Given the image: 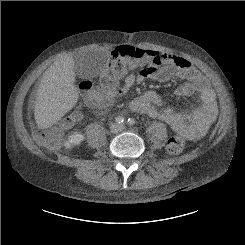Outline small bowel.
<instances>
[{
	"instance_id": "1",
	"label": "small bowel",
	"mask_w": 245,
	"mask_h": 245,
	"mask_svg": "<svg viewBox=\"0 0 245 245\" xmlns=\"http://www.w3.org/2000/svg\"><path fill=\"white\" fill-rule=\"evenodd\" d=\"M142 51L143 58L139 62L127 65L123 73L113 75V93L91 95V98L97 101L96 105H92L89 96L83 93L85 104L92 111L103 112L117 97L125 95L131 87L147 79L159 82H166L173 78L185 79L188 83L176 88L173 94L178 98L188 97L194 93L199 95L201 106L191 113L184 114L166 106L161 97L152 91L132 99L128 106L134 112L165 121L173 131L189 139L205 135L217 116L215 94L207 79L183 56L149 49ZM112 54H116V51H112ZM160 61L163 63L162 65H160ZM107 74H110L109 68L101 72L102 76ZM59 75L68 79L71 73L67 71L59 73ZM120 82L123 83L120 84Z\"/></svg>"
}]
</instances>
